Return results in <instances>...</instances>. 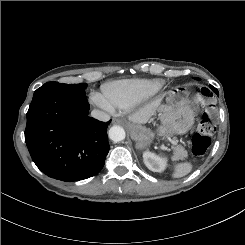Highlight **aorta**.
I'll list each match as a JSON object with an SVG mask.
<instances>
[{"label": "aorta", "mask_w": 245, "mask_h": 245, "mask_svg": "<svg viewBox=\"0 0 245 245\" xmlns=\"http://www.w3.org/2000/svg\"><path fill=\"white\" fill-rule=\"evenodd\" d=\"M125 130L121 126H112L109 129V138L114 142H120L125 139Z\"/></svg>", "instance_id": "aorta-1"}]
</instances>
